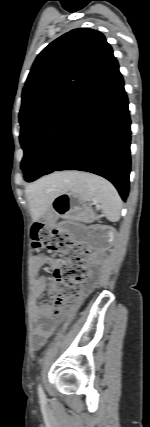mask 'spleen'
<instances>
[{
  "label": "spleen",
  "mask_w": 150,
  "mask_h": 427,
  "mask_svg": "<svg viewBox=\"0 0 150 427\" xmlns=\"http://www.w3.org/2000/svg\"><path fill=\"white\" fill-rule=\"evenodd\" d=\"M69 190L78 193L85 201L97 204L109 221L119 220L122 208L121 198L115 187L104 178L94 174L74 172Z\"/></svg>",
  "instance_id": "1"
}]
</instances>
